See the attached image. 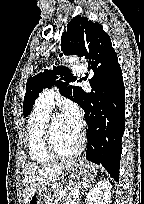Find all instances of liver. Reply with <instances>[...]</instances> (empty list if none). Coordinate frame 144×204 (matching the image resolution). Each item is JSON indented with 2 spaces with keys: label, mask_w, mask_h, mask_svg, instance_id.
Here are the masks:
<instances>
[{
  "label": "liver",
  "mask_w": 144,
  "mask_h": 204,
  "mask_svg": "<svg viewBox=\"0 0 144 204\" xmlns=\"http://www.w3.org/2000/svg\"><path fill=\"white\" fill-rule=\"evenodd\" d=\"M73 162L67 161L54 165L30 164L24 170L23 197L24 204H28L35 191L43 186L59 179L64 169Z\"/></svg>",
  "instance_id": "obj_1"
}]
</instances>
